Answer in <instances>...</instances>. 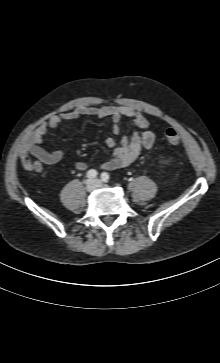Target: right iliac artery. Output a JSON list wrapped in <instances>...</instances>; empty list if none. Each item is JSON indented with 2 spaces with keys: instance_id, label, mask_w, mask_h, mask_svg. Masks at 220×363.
Returning a JSON list of instances; mask_svg holds the SVG:
<instances>
[{
  "instance_id": "right-iliac-artery-1",
  "label": "right iliac artery",
  "mask_w": 220,
  "mask_h": 363,
  "mask_svg": "<svg viewBox=\"0 0 220 363\" xmlns=\"http://www.w3.org/2000/svg\"><path fill=\"white\" fill-rule=\"evenodd\" d=\"M98 175L97 171L94 169H91L87 172L86 176L88 178H95Z\"/></svg>"
}]
</instances>
